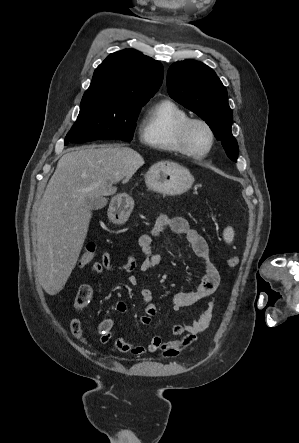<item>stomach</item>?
<instances>
[{"mask_svg": "<svg viewBox=\"0 0 299 443\" xmlns=\"http://www.w3.org/2000/svg\"><path fill=\"white\" fill-rule=\"evenodd\" d=\"M194 182V177L188 169L167 162L164 165L152 166L145 175L148 189L164 195H180L189 190ZM134 201L127 194H118L111 200L109 218L117 223H124L133 208Z\"/></svg>", "mask_w": 299, "mask_h": 443, "instance_id": "1", "label": "stomach"}]
</instances>
